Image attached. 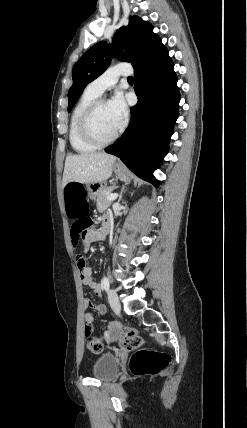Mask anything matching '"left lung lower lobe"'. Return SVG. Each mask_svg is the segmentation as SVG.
<instances>
[{
  "instance_id": "0a47b994",
  "label": "left lung lower lobe",
  "mask_w": 247,
  "mask_h": 428,
  "mask_svg": "<svg viewBox=\"0 0 247 428\" xmlns=\"http://www.w3.org/2000/svg\"><path fill=\"white\" fill-rule=\"evenodd\" d=\"M174 64L165 48L134 69L138 103L125 133L105 151L119 157L137 176L158 187L153 173L168 153L179 116L180 93Z\"/></svg>"
}]
</instances>
